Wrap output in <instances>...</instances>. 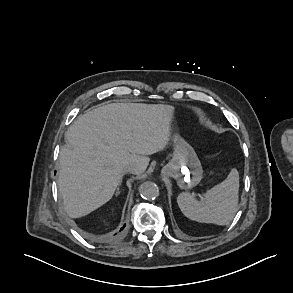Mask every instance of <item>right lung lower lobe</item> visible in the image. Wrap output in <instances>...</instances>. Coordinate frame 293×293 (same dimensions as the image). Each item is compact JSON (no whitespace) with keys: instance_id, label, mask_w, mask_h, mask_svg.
<instances>
[{"instance_id":"98d812e1","label":"right lung lower lobe","mask_w":293,"mask_h":293,"mask_svg":"<svg viewBox=\"0 0 293 293\" xmlns=\"http://www.w3.org/2000/svg\"><path fill=\"white\" fill-rule=\"evenodd\" d=\"M125 227V225L123 226V228ZM123 228H121V230H123Z\"/></svg>"}]
</instances>
